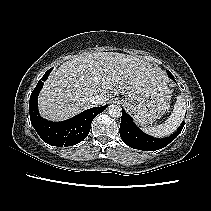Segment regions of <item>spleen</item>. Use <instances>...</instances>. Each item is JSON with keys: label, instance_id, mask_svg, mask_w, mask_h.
I'll return each instance as SVG.
<instances>
[{"label": "spleen", "instance_id": "1", "mask_svg": "<svg viewBox=\"0 0 211 211\" xmlns=\"http://www.w3.org/2000/svg\"><path fill=\"white\" fill-rule=\"evenodd\" d=\"M186 111L185 101L182 96L177 97V102L170 117L165 123L143 128V130L155 137H164L172 134L182 123Z\"/></svg>", "mask_w": 211, "mask_h": 211}]
</instances>
